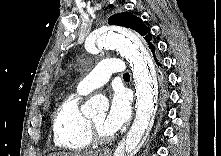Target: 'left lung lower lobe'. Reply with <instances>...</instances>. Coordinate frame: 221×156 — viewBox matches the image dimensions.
<instances>
[{
  "label": "left lung lower lobe",
  "instance_id": "0a47b994",
  "mask_svg": "<svg viewBox=\"0 0 221 156\" xmlns=\"http://www.w3.org/2000/svg\"><path fill=\"white\" fill-rule=\"evenodd\" d=\"M157 66H162L161 64V60L160 59H157L155 60ZM159 86H160V89H161V98L163 101L166 100L167 98V91H166V76H165V73L162 71L161 73H159Z\"/></svg>",
  "mask_w": 221,
  "mask_h": 156
}]
</instances>
